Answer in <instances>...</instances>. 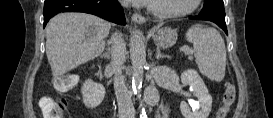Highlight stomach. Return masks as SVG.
<instances>
[{
    "label": "stomach",
    "instance_id": "stomach-1",
    "mask_svg": "<svg viewBox=\"0 0 273 118\" xmlns=\"http://www.w3.org/2000/svg\"><path fill=\"white\" fill-rule=\"evenodd\" d=\"M154 41L160 48H169L177 41V33L170 28H157L154 30Z\"/></svg>",
    "mask_w": 273,
    "mask_h": 118
}]
</instances>
